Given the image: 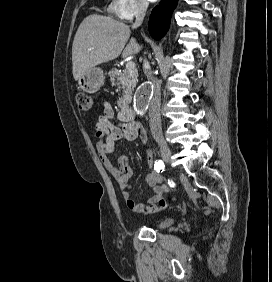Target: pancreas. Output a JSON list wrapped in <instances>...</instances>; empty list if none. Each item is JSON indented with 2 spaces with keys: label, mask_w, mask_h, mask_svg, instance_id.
Returning a JSON list of instances; mask_svg holds the SVG:
<instances>
[{
  "label": "pancreas",
  "mask_w": 272,
  "mask_h": 282,
  "mask_svg": "<svg viewBox=\"0 0 272 282\" xmlns=\"http://www.w3.org/2000/svg\"><path fill=\"white\" fill-rule=\"evenodd\" d=\"M110 80L113 85H117L119 89L123 90L118 100V105L124 106L131 101L132 91L134 90L137 83V71L120 70L114 68L109 71Z\"/></svg>",
  "instance_id": "obj_1"
}]
</instances>
